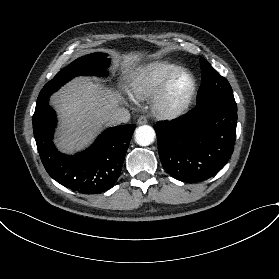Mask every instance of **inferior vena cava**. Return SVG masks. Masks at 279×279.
Wrapping results in <instances>:
<instances>
[{
	"label": "inferior vena cava",
	"mask_w": 279,
	"mask_h": 279,
	"mask_svg": "<svg viewBox=\"0 0 279 279\" xmlns=\"http://www.w3.org/2000/svg\"><path fill=\"white\" fill-rule=\"evenodd\" d=\"M130 113L126 109L116 108L109 114V124L116 125L121 123H128L130 121Z\"/></svg>",
	"instance_id": "602c4592"
}]
</instances>
